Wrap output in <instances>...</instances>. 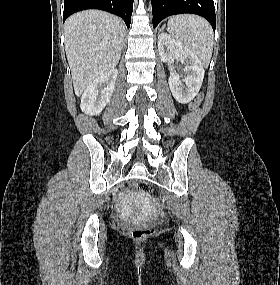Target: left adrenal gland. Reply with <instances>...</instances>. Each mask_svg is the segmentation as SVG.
<instances>
[{
    "label": "left adrenal gland",
    "instance_id": "1",
    "mask_svg": "<svg viewBox=\"0 0 280 285\" xmlns=\"http://www.w3.org/2000/svg\"><path fill=\"white\" fill-rule=\"evenodd\" d=\"M164 28H165V25H163L159 31L161 32Z\"/></svg>",
    "mask_w": 280,
    "mask_h": 285
}]
</instances>
